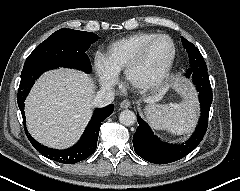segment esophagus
<instances>
[{
	"label": "esophagus",
	"instance_id": "34e87169",
	"mask_svg": "<svg viewBox=\"0 0 240 191\" xmlns=\"http://www.w3.org/2000/svg\"><path fill=\"white\" fill-rule=\"evenodd\" d=\"M119 106H120L122 109H127V108H130L131 103H130V101H128V100H124V101H122V102L119 104Z\"/></svg>",
	"mask_w": 240,
	"mask_h": 191
}]
</instances>
